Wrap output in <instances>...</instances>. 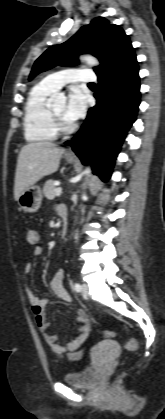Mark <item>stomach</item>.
<instances>
[{"mask_svg": "<svg viewBox=\"0 0 165 419\" xmlns=\"http://www.w3.org/2000/svg\"><path fill=\"white\" fill-rule=\"evenodd\" d=\"M67 161L73 163L74 159L67 158ZM42 199L43 194L41 188L37 185H32L20 194L17 203L25 212L34 213L39 210Z\"/></svg>", "mask_w": 165, "mask_h": 419, "instance_id": "obj_1", "label": "stomach"}]
</instances>
